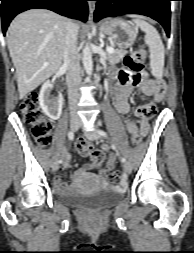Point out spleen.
I'll list each match as a JSON object with an SVG mask.
<instances>
[{
	"label": "spleen",
	"instance_id": "spleen-1",
	"mask_svg": "<svg viewBox=\"0 0 194 253\" xmlns=\"http://www.w3.org/2000/svg\"><path fill=\"white\" fill-rule=\"evenodd\" d=\"M135 29L140 28L145 33L144 41L149 48L151 73L154 77L161 79L164 68V45L157 30L142 19L133 20Z\"/></svg>",
	"mask_w": 194,
	"mask_h": 253
}]
</instances>
